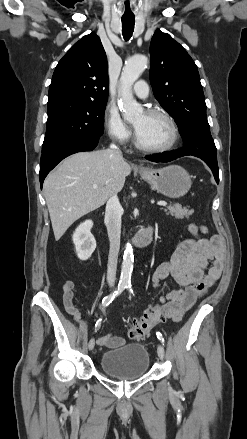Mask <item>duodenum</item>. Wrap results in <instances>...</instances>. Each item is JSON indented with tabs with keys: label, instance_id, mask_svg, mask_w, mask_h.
I'll return each mask as SVG.
<instances>
[{
	"label": "duodenum",
	"instance_id": "obj_1",
	"mask_svg": "<svg viewBox=\"0 0 247 439\" xmlns=\"http://www.w3.org/2000/svg\"><path fill=\"white\" fill-rule=\"evenodd\" d=\"M154 228L152 226H148L141 231H139L132 240V245L136 248H145L147 247L153 238Z\"/></svg>",
	"mask_w": 247,
	"mask_h": 439
}]
</instances>
